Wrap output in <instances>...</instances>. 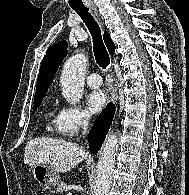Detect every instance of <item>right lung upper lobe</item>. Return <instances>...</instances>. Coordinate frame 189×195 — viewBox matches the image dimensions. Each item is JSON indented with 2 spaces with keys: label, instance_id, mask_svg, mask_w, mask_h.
<instances>
[{
  "label": "right lung upper lobe",
  "instance_id": "right-lung-upper-lobe-1",
  "mask_svg": "<svg viewBox=\"0 0 189 195\" xmlns=\"http://www.w3.org/2000/svg\"><path fill=\"white\" fill-rule=\"evenodd\" d=\"M104 42L111 55H114L115 45L108 32H104ZM67 55V42L59 41L52 45L44 56L38 74L34 101L42 100L48 87L52 84L54 75L59 65Z\"/></svg>",
  "mask_w": 189,
  "mask_h": 195
}]
</instances>
